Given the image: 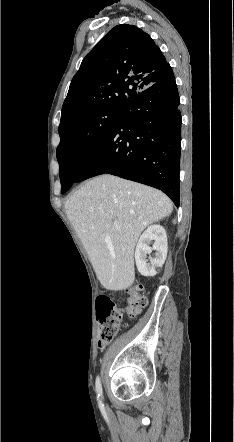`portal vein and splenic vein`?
Listing matches in <instances>:
<instances>
[{"mask_svg":"<svg viewBox=\"0 0 234 442\" xmlns=\"http://www.w3.org/2000/svg\"><path fill=\"white\" fill-rule=\"evenodd\" d=\"M114 225H115V228H116V229H120V227H121L120 224L117 223V222H116Z\"/></svg>","mask_w":234,"mask_h":442,"instance_id":"1","label":"portal vein and splenic vein"}]
</instances>
